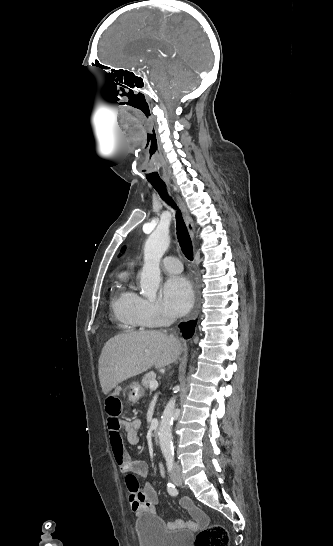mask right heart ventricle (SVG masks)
<instances>
[{"label":"right heart ventricle","instance_id":"1","mask_svg":"<svg viewBox=\"0 0 333 546\" xmlns=\"http://www.w3.org/2000/svg\"><path fill=\"white\" fill-rule=\"evenodd\" d=\"M137 296L130 277L125 275L111 297L110 306L114 320L128 330H136L144 325L134 310Z\"/></svg>","mask_w":333,"mask_h":546}]
</instances>
